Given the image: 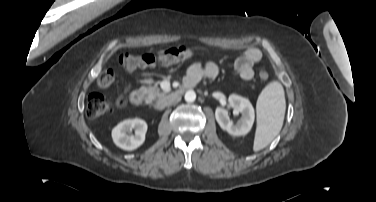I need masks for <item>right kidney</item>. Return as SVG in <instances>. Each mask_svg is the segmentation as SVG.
Returning a JSON list of instances; mask_svg holds the SVG:
<instances>
[{
    "label": "right kidney",
    "instance_id": "ca27d5eb",
    "mask_svg": "<svg viewBox=\"0 0 376 202\" xmlns=\"http://www.w3.org/2000/svg\"><path fill=\"white\" fill-rule=\"evenodd\" d=\"M135 130V134L128 136L126 133ZM147 123L139 118L126 119L112 129V139L116 146L132 151L145 141Z\"/></svg>",
    "mask_w": 376,
    "mask_h": 202
}]
</instances>
